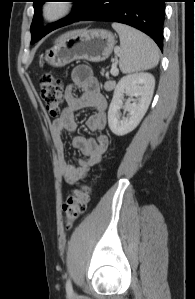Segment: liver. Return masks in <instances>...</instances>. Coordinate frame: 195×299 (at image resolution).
Wrapping results in <instances>:
<instances>
[{"instance_id":"obj_1","label":"liver","mask_w":195,"mask_h":299,"mask_svg":"<svg viewBox=\"0 0 195 299\" xmlns=\"http://www.w3.org/2000/svg\"><path fill=\"white\" fill-rule=\"evenodd\" d=\"M64 35H66V34H64ZM64 35H62L61 37H59V39H61ZM59 39H58V40H59ZM58 40H57V41H58Z\"/></svg>"}]
</instances>
